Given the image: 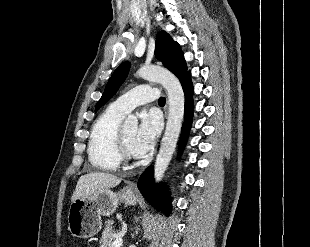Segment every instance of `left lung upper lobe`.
I'll return each instance as SVG.
<instances>
[{"instance_id":"5c2ea615","label":"left lung upper lobe","mask_w":310,"mask_h":247,"mask_svg":"<svg viewBox=\"0 0 310 247\" xmlns=\"http://www.w3.org/2000/svg\"><path fill=\"white\" fill-rule=\"evenodd\" d=\"M155 56L158 60L163 62L164 66L167 67L172 73H174L179 79L188 72L186 62L179 44L174 42L165 31H161L157 34ZM129 69L130 63L124 62L114 71L105 87V91L101 99L96 104L95 111H97L101 106H103L112 98L120 85L126 79Z\"/></svg>"}]
</instances>
